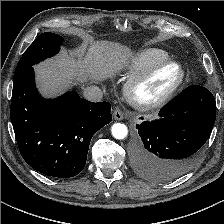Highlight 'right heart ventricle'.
<instances>
[{
	"label": "right heart ventricle",
	"instance_id": "obj_1",
	"mask_svg": "<svg viewBox=\"0 0 224 224\" xmlns=\"http://www.w3.org/2000/svg\"><path fill=\"white\" fill-rule=\"evenodd\" d=\"M169 55L159 48H146L138 52L129 62L127 67V75H137L150 66L164 60H168Z\"/></svg>",
	"mask_w": 224,
	"mask_h": 224
}]
</instances>
